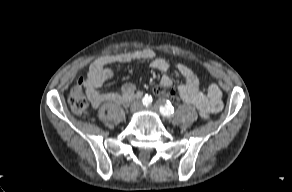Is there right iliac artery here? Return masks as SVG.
I'll list each match as a JSON object with an SVG mask.
<instances>
[{"instance_id": "82829eb1", "label": "right iliac artery", "mask_w": 292, "mask_h": 192, "mask_svg": "<svg viewBox=\"0 0 292 192\" xmlns=\"http://www.w3.org/2000/svg\"><path fill=\"white\" fill-rule=\"evenodd\" d=\"M143 105L149 106L152 103V97L146 94L142 99Z\"/></svg>"}]
</instances>
